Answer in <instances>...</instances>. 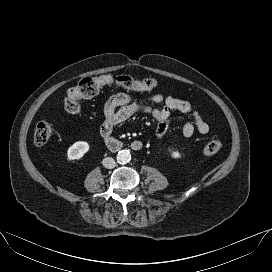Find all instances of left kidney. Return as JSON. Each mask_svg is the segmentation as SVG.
<instances>
[{
  "label": "left kidney",
  "instance_id": "left-kidney-1",
  "mask_svg": "<svg viewBox=\"0 0 272 272\" xmlns=\"http://www.w3.org/2000/svg\"><path fill=\"white\" fill-rule=\"evenodd\" d=\"M171 155L173 158H180L181 157V154L178 151H172Z\"/></svg>",
  "mask_w": 272,
  "mask_h": 272
}]
</instances>
